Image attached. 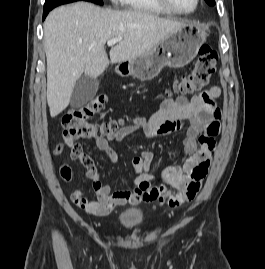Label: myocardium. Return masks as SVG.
I'll list each match as a JSON object with an SVG mask.
<instances>
[{"mask_svg":"<svg viewBox=\"0 0 265 269\" xmlns=\"http://www.w3.org/2000/svg\"><path fill=\"white\" fill-rule=\"evenodd\" d=\"M164 9L169 12L177 13V14H191L195 12L199 6L200 0H195V5L191 10H181L176 8L171 4L169 0H156Z\"/></svg>","mask_w":265,"mask_h":269,"instance_id":"obj_1","label":"myocardium"}]
</instances>
